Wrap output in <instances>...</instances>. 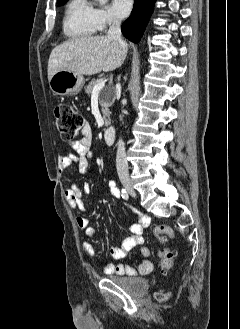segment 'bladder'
<instances>
[{"mask_svg": "<svg viewBox=\"0 0 240 329\" xmlns=\"http://www.w3.org/2000/svg\"><path fill=\"white\" fill-rule=\"evenodd\" d=\"M111 279L118 286L133 293H144L149 287L148 281L144 278L113 277Z\"/></svg>", "mask_w": 240, "mask_h": 329, "instance_id": "bladder-1", "label": "bladder"}]
</instances>
